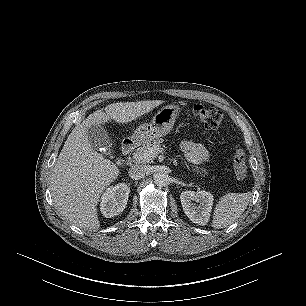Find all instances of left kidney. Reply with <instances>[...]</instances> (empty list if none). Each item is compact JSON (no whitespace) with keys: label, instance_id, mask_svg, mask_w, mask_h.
Segmentation results:
<instances>
[{"label":"left kidney","instance_id":"1","mask_svg":"<svg viewBox=\"0 0 306 306\" xmlns=\"http://www.w3.org/2000/svg\"><path fill=\"white\" fill-rule=\"evenodd\" d=\"M180 199L184 213L193 223L199 225L208 223L214 201L211 193L206 191H183ZM194 202L199 203V205Z\"/></svg>","mask_w":306,"mask_h":306}]
</instances>
